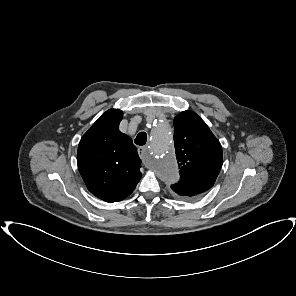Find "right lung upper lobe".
Listing matches in <instances>:
<instances>
[{
    "mask_svg": "<svg viewBox=\"0 0 296 296\" xmlns=\"http://www.w3.org/2000/svg\"><path fill=\"white\" fill-rule=\"evenodd\" d=\"M122 111L110 109L83 135L77 164L88 190L106 202L125 199L140 181L141 160L132 139L119 131Z\"/></svg>",
    "mask_w": 296,
    "mask_h": 296,
    "instance_id": "1",
    "label": "right lung upper lobe"
}]
</instances>
